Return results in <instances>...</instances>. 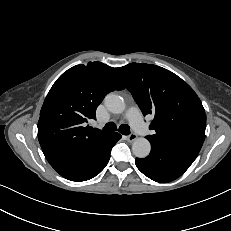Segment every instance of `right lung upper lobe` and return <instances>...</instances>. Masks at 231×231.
<instances>
[{"label": "right lung upper lobe", "instance_id": "cb5924a9", "mask_svg": "<svg viewBox=\"0 0 231 231\" xmlns=\"http://www.w3.org/2000/svg\"><path fill=\"white\" fill-rule=\"evenodd\" d=\"M118 68L101 62L64 72L47 94L38 121L42 151L55 169L90 153L111 133L86 126L111 91L122 90Z\"/></svg>", "mask_w": 231, "mask_h": 231}]
</instances>
